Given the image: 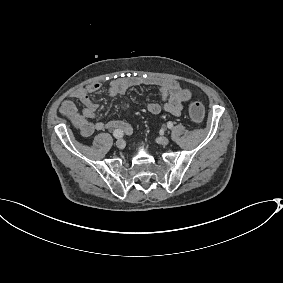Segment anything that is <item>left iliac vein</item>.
I'll use <instances>...</instances> for the list:
<instances>
[{"instance_id": "left-iliac-vein-1", "label": "left iliac vein", "mask_w": 283, "mask_h": 283, "mask_svg": "<svg viewBox=\"0 0 283 283\" xmlns=\"http://www.w3.org/2000/svg\"><path fill=\"white\" fill-rule=\"evenodd\" d=\"M156 140H157V143L164 145V146L169 143V139L165 136L158 137Z\"/></svg>"}]
</instances>
